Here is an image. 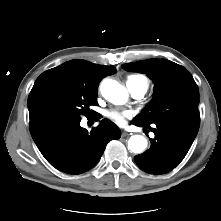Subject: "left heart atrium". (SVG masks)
<instances>
[{
    "instance_id": "1",
    "label": "left heart atrium",
    "mask_w": 221,
    "mask_h": 221,
    "mask_svg": "<svg viewBox=\"0 0 221 221\" xmlns=\"http://www.w3.org/2000/svg\"><path fill=\"white\" fill-rule=\"evenodd\" d=\"M129 116L127 112L112 111L108 117L118 125H124L125 119Z\"/></svg>"
}]
</instances>
